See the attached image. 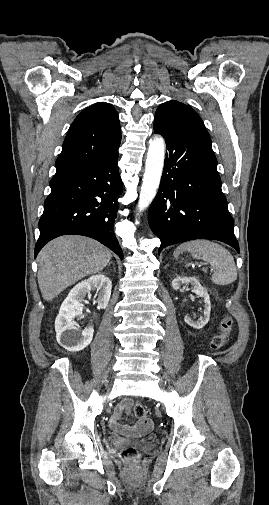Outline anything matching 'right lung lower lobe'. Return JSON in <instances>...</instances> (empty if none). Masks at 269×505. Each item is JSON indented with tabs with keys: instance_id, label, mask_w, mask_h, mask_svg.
<instances>
[{
	"instance_id": "98d812e1",
	"label": "right lung lower lobe",
	"mask_w": 269,
	"mask_h": 505,
	"mask_svg": "<svg viewBox=\"0 0 269 505\" xmlns=\"http://www.w3.org/2000/svg\"><path fill=\"white\" fill-rule=\"evenodd\" d=\"M51 193L39 220L40 236L35 257L50 240L66 234L98 240L120 259L123 252L113 233L117 198L122 193L118 170V149L100 159L55 174Z\"/></svg>"
}]
</instances>
